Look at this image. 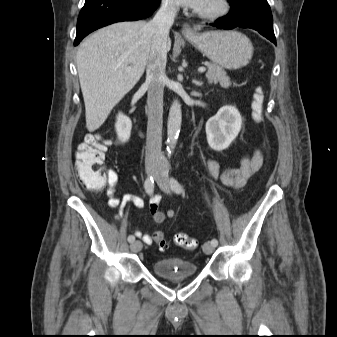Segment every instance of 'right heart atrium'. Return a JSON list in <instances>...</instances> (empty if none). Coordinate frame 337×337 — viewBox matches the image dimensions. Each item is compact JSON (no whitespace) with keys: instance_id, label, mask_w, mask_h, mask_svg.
<instances>
[{"instance_id":"right-heart-atrium-1","label":"right heart atrium","mask_w":337,"mask_h":337,"mask_svg":"<svg viewBox=\"0 0 337 337\" xmlns=\"http://www.w3.org/2000/svg\"><path fill=\"white\" fill-rule=\"evenodd\" d=\"M163 4H164V6H166L171 11H174L176 9V7L173 4L172 0H163Z\"/></svg>"}]
</instances>
